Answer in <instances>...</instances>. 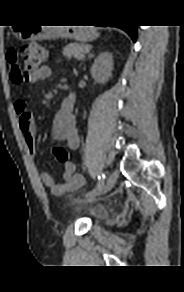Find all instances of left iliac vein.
I'll return each mask as SVG.
<instances>
[{
    "mask_svg": "<svg viewBox=\"0 0 184 292\" xmlns=\"http://www.w3.org/2000/svg\"><path fill=\"white\" fill-rule=\"evenodd\" d=\"M118 178V172L113 171L106 179V182L104 183L103 187L96 192L95 194L88 196V200H94L96 197L101 196L107 192H109L115 185Z\"/></svg>",
    "mask_w": 184,
    "mask_h": 292,
    "instance_id": "obj_1",
    "label": "left iliac vein"
}]
</instances>
